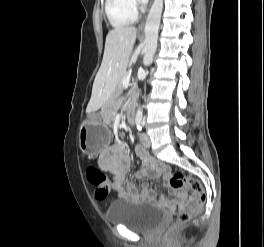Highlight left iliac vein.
Segmentation results:
<instances>
[{
    "mask_svg": "<svg viewBox=\"0 0 264 247\" xmlns=\"http://www.w3.org/2000/svg\"><path fill=\"white\" fill-rule=\"evenodd\" d=\"M140 141H141V144L146 148H149L151 146L149 135L145 132H142L140 134Z\"/></svg>",
    "mask_w": 264,
    "mask_h": 247,
    "instance_id": "4c4485c4",
    "label": "left iliac vein"
}]
</instances>
